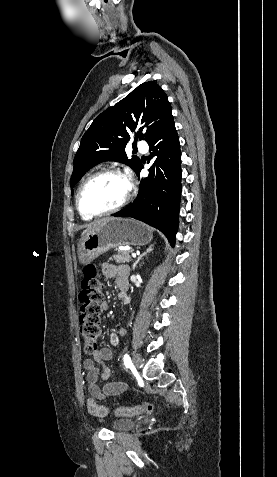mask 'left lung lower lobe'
Segmentation results:
<instances>
[{"label":"left lung lower lobe","instance_id":"left-lung-lower-lobe-1","mask_svg":"<svg viewBox=\"0 0 277 477\" xmlns=\"http://www.w3.org/2000/svg\"><path fill=\"white\" fill-rule=\"evenodd\" d=\"M156 163L147 178L141 180L136 200L113 216L132 217L159 229L174 246L178 228L181 196V152L174 119L148 142ZM157 165L156 175L155 166ZM142 164L136 171L139 176Z\"/></svg>","mask_w":277,"mask_h":477}]
</instances>
